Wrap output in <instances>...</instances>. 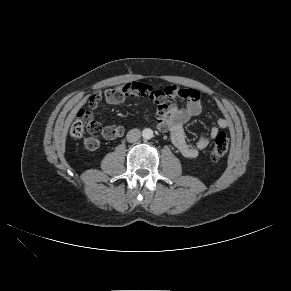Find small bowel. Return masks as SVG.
<instances>
[{
  "mask_svg": "<svg viewBox=\"0 0 291 291\" xmlns=\"http://www.w3.org/2000/svg\"><path fill=\"white\" fill-rule=\"evenodd\" d=\"M139 96L154 101L157 106V129L170 133L173 144L185 158H195L200 150L207 148L210 139L216 137L220 129H225L229 126L227 119L220 118L217 120L216 125L210 129L208 135L201 136L195 144L189 143L184 125L192 117L201 113V96L199 91L194 88H183L177 85H169L164 89H153L139 82L125 83L106 90L104 93L98 92L94 94L90 97L89 103L96 99L97 106L104 99L108 104H120L127 98ZM176 99L183 100L185 102L184 105L181 107L176 105ZM85 146L89 150H95L99 146V141L98 139L87 138Z\"/></svg>",
  "mask_w": 291,
  "mask_h": 291,
  "instance_id": "1",
  "label": "small bowel"
}]
</instances>
